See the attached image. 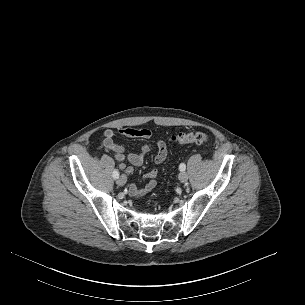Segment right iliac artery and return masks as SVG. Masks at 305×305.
<instances>
[{"label": "right iliac artery", "instance_id": "obj_1", "mask_svg": "<svg viewBox=\"0 0 305 305\" xmlns=\"http://www.w3.org/2000/svg\"><path fill=\"white\" fill-rule=\"evenodd\" d=\"M113 177H114V179H118V178H119V172H118V170H114V172H113Z\"/></svg>", "mask_w": 305, "mask_h": 305}]
</instances>
